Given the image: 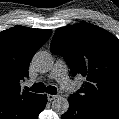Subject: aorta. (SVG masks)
I'll return each mask as SVG.
<instances>
[{"label":"aorta","mask_w":119,"mask_h":119,"mask_svg":"<svg viewBox=\"0 0 119 119\" xmlns=\"http://www.w3.org/2000/svg\"><path fill=\"white\" fill-rule=\"evenodd\" d=\"M36 70L40 73L49 72L53 66V57L47 51H38L32 60ZM52 109L58 115L66 113L69 109V102L67 98L59 96L52 102Z\"/></svg>","instance_id":"aorta-1"}]
</instances>
